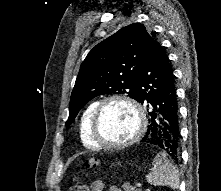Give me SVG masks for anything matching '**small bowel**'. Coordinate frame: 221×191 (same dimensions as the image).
I'll use <instances>...</instances> for the list:
<instances>
[{
  "mask_svg": "<svg viewBox=\"0 0 221 191\" xmlns=\"http://www.w3.org/2000/svg\"><path fill=\"white\" fill-rule=\"evenodd\" d=\"M105 189V183L102 180H96L91 184L90 191H104ZM109 191H121L116 186H113L109 189Z\"/></svg>",
  "mask_w": 221,
  "mask_h": 191,
  "instance_id": "obj_1",
  "label": "small bowel"
}]
</instances>
